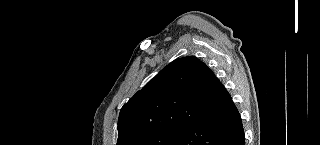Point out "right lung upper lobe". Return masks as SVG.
Listing matches in <instances>:
<instances>
[{"label": "right lung upper lobe", "instance_id": "right-lung-upper-lobe-1", "mask_svg": "<svg viewBox=\"0 0 320 145\" xmlns=\"http://www.w3.org/2000/svg\"><path fill=\"white\" fill-rule=\"evenodd\" d=\"M222 86L197 57L174 60L122 107L117 145H133L150 133L205 120L219 108Z\"/></svg>", "mask_w": 320, "mask_h": 145}]
</instances>
